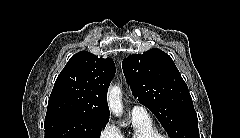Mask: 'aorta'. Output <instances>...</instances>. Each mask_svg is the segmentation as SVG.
<instances>
[{"label": "aorta", "instance_id": "obj_1", "mask_svg": "<svg viewBox=\"0 0 240 138\" xmlns=\"http://www.w3.org/2000/svg\"><path fill=\"white\" fill-rule=\"evenodd\" d=\"M122 92L119 86H111L108 91V104L110 111L117 117L122 115L123 105L121 101Z\"/></svg>", "mask_w": 240, "mask_h": 138}]
</instances>
